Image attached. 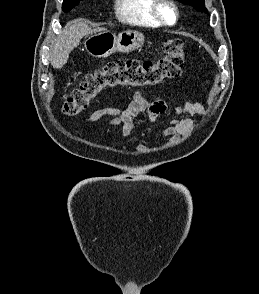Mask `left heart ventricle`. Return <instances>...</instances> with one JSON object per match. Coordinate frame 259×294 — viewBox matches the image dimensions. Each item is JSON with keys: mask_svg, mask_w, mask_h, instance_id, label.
Segmentation results:
<instances>
[{"mask_svg": "<svg viewBox=\"0 0 259 294\" xmlns=\"http://www.w3.org/2000/svg\"><path fill=\"white\" fill-rule=\"evenodd\" d=\"M162 13L164 18L168 21V22H173L174 20V15L171 11V9L167 8V7H163L162 8Z\"/></svg>", "mask_w": 259, "mask_h": 294, "instance_id": "b2bd125f", "label": "left heart ventricle"}]
</instances>
